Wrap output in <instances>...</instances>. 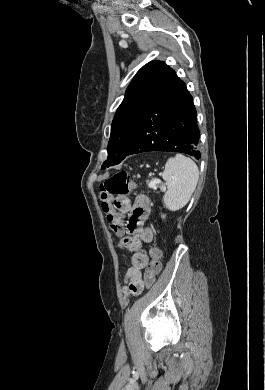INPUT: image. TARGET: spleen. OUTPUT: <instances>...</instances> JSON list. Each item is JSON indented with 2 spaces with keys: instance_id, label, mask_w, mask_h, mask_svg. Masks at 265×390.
<instances>
[{
  "instance_id": "3e777b00",
  "label": "spleen",
  "mask_w": 265,
  "mask_h": 390,
  "mask_svg": "<svg viewBox=\"0 0 265 390\" xmlns=\"http://www.w3.org/2000/svg\"><path fill=\"white\" fill-rule=\"evenodd\" d=\"M162 178L167 185L164 204L169 210L176 211L188 203L196 188L199 170L193 160L177 154L167 160Z\"/></svg>"
}]
</instances>
